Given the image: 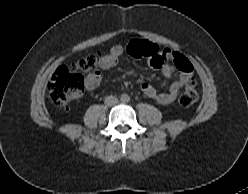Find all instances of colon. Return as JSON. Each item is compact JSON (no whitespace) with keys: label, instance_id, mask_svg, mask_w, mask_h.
Wrapping results in <instances>:
<instances>
[{"label":"colon","instance_id":"colon-1","mask_svg":"<svg viewBox=\"0 0 248 194\" xmlns=\"http://www.w3.org/2000/svg\"><path fill=\"white\" fill-rule=\"evenodd\" d=\"M127 50L135 58H156L159 49L149 41H131ZM177 62L183 60L182 55L174 53ZM164 59H159L156 64H161ZM100 57L98 54H89L77 62L66 66H60L49 81V93L54 104L62 106L78 97L85 88L87 77L98 73ZM198 99V91L194 80L187 81L179 96V103L183 107L192 106Z\"/></svg>","mask_w":248,"mask_h":194}]
</instances>
